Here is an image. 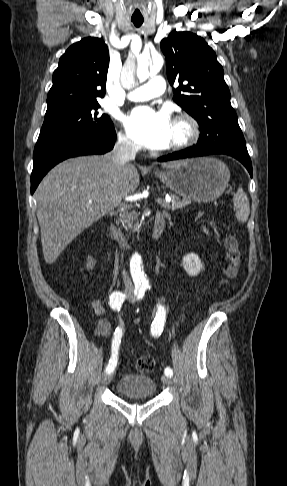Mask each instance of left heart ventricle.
I'll list each match as a JSON object with an SVG mask.
<instances>
[{
  "mask_svg": "<svg viewBox=\"0 0 287 486\" xmlns=\"http://www.w3.org/2000/svg\"><path fill=\"white\" fill-rule=\"evenodd\" d=\"M184 134H185L184 127L182 125L173 123L170 143L181 139L184 136Z\"/></svg>",
  "mask_w": 287,
  "mask_h": 486,
  "instance_id": "obj_1",
  "label": "left heart ventricle"
}]
</instances>
